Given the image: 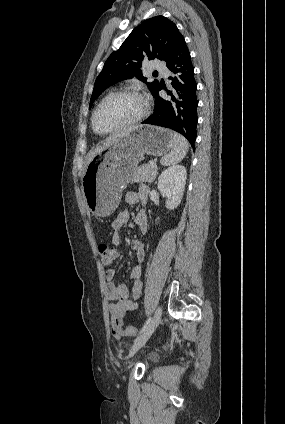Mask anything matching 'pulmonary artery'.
Returning <instances> with one entry per match:
<instances>
[{
  "label": "pulmonary artery",
  "instance_id": "1",
  "mask_svg": "<svg viewBox=\"0 0 285 424\" xmlns=\"http://www.w3.org/2000/svg\"><path fill=\"white\" fill-rule=\"evenodd\" d=\"M153 69L161 72L162 74H167L169 72L168 68L159 62L153 63Z\"/></svg>",
  "mask_w": 285,
  "mask_h": 424
}]
</instances>
